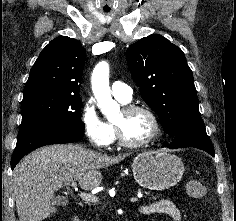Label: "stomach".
Instances as JSON below:
<instances>
[{"label":"stomach","instance_id":"0dacf381","mask_svg":"<svg viewBox=\"0 0 236 221\" xmlns=\"http://www.w3.org/2000/svg\"><path fill=\"white\" fill-rule=\"evenodd\" d=\"M132 171L140 186L150 190H165L181 180L184 165L176 155L163 151H147L134 158Z\"/></svg>","mask_w":236,"mask_h":221}]
</instances>
